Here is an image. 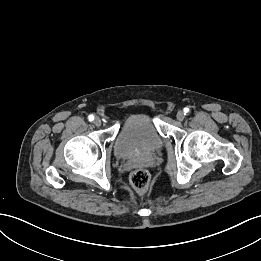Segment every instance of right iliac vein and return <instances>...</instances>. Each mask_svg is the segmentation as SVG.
Returning a JSON list of instances; mask_svg holds the SVG:
<instances>
[{
	"instance_id": "63e3f726",
	"label": "right iliac vein",
	"mask_w": 261,
	"mask_h": 261,
	"mask_svg": "<svg viewBox=\"0 0 261 261\" xmlns=\"http://www.w3.org/2000/svg\"><path fill=\"white\" fill-rule=\"evenodd\" d=\"M93 123H94L95 126L100 127L101 124H102V121H101L100 118L96 117V118L94 119V122H93Z\"/></svg>"
}]
</instances>
